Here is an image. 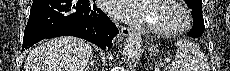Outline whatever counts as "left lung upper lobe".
<instances>
[{"label": "left lung upper lobe", "mask_w": 230, "mask_h": 71, "mask_svg": "<svg viewBox=\"0 0 230 71\" xmlns=\"http://www.w3.org/2000/svg\"><path fill=\"white\" fill-rule=\"evenodd\" d=\"M184 1L193 10L192 12L202 13V0H184Z\"/></svg>", "instance_id": "obj_1"}]
</instances>
